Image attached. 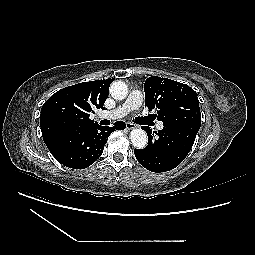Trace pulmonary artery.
<instances>
[{"instance_id": "obj_1", "label": "pulmonary artery", "mask_w": 255, "mask_h": 255, "mask_svg": "<svg viewBox=\"0 0 255 255\" xmlns=\"http://www.w3.org/2000/svg\"><path fill=\"white\" fill-rule=\"evenodd\" d=\"M144 101V95L140 90H132L126 101L119 107L107 112V116L112 119L120 118L130 111L138 109ZM157 129L162 130L163 124L157 123Z\"/></svg>"}]
</instances>
